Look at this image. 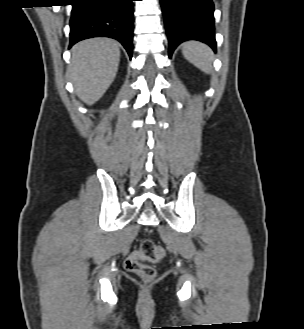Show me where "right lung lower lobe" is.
Here are the masks:
<instances>
[{
	"label": "right lung lower lobe",
	"mask_w": 304,
	"mask_h": 329,
	"mask_svg": "<svg viewBox=\"0 0 304 329\" xmlns=\"http://www.w3.org/2000/svg\"><path fill=\"white\" fill-rule=\"evenodd\" d=\"M70 47L83 39L110 37L132 57L134 0H71Z\"/></svg>",
	"instance_id": "obj_1"
}]
</instances>
